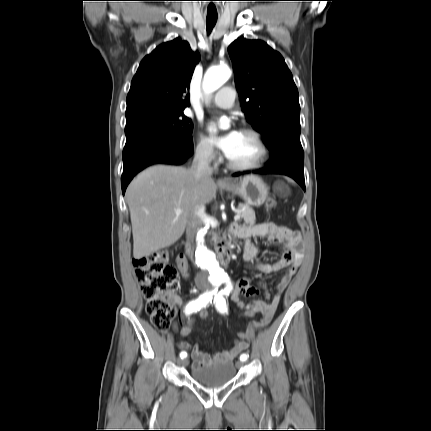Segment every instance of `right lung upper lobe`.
I'll list each match as a JSON object with an SVG mask.
<instances>
[{
	"label": "right lung upper lobe",
	"instance_id": "right-lung-upper-lobe-1",
	"mask_svg": "<svg viewBox=\"0 0 431 431\" xmlns=\"http://www.w3.org/2000/svg\"><path fill=\"white\" fill-rule=\"evenodd\" d=\"M199 55L176 38L159 45L141 61L127 95L126 120L152 112L183 111Z\"/></svg>",
	"mask_w": 431,
	"mask_h": 431
}]
</instances>
